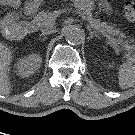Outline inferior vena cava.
Returning <instances> with one entry per match:
<instances>
[{
    "label": "inferior vena cava",
    "mask_w": 135,
    "mask_h": 135,
    "mask_svg": "<svg viewBox=\"0 0 135 135\" xmlns=\"http://www.w3.org/2000/svg\"><path fill=\"white\" fill-rule=\"evenodd\" d=\"M55 30H51V31H45L41 34V36H45V35H48V34H51V33H54Z\"/></svg>",
    "instance_id": "inferior-vena-cava-1"
}]
</instances>
